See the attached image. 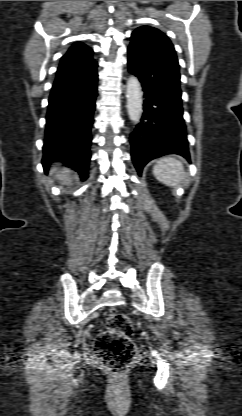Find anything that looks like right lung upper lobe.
Here are the masks:
<instances>
[{
	"instance_id": "cb5924a9",
	"label": "right lung upper lobe",
	"mask_w": 242,
	"mask_h": 416,
	"mask_svg": "<svg viewBox=\"0 0 242 416\" xmlns=\"http://www.w3.org/2000/svg\"><path fill=\"white\" fill-rule=\"evenodd\" d=\"M92 49L83 43H74L62 57L57 70V81L84 77L97 67Z\"/></svg>"
}]
</instances>
